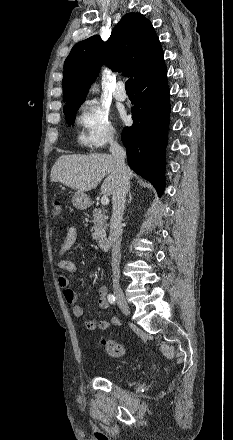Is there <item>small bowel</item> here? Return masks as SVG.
I'll list each match as a JSON object with an SVG mask.
<instances>
[{"instance_id": "1", "label": "small bowel", "mask_w": 233, "mask_h": 440, "mask_svg": "<svg viewBox=\"0 0 233 440\" xmlns=\"http://www.w3.org/2000/svg\"><path fill=\"white\" fill-rule=\"evenodd\" d=\"M77 225L74 222H71L67 225L63 237V241L58 250L56 260L57 266L61 271L68 272L70 274H75L77 272L76 265L66 259V253L74 246L77 241ZM94 260L97 258L94 256ZM58 285L63 289V296L67 304L72 306V312L75 317H83L85 314V310L82 306L78 304V296L76 292L70 287V281L67 276L63 274H59L57 277ZM99 298L98 305L101 309L106 310L109 308L108 301V290L105 285H99L97 288ZM120 325V319L116 316L110 318V320H98L93 318L84 323V326L87 330L93 331L96 329L106 330L110 326L117 327Z\"/></svg>"}]
</instances>
